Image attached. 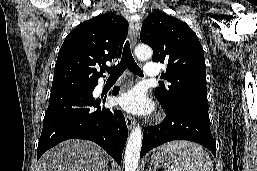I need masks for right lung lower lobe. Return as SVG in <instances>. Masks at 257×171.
<instances>
[{
  "label": "right lung lower lobe",
  "mask_w": 257,
  "mask_h": 171,
  "mask_svg": "<svg viewBox=\"0 0 257 171\" xmlns=\"http://www.w3.org/2000/svg\"><path fill=\"white\" fill-rule=\"evenodd\" d=\"M93 86L52 90L38 143L37 160L58 143L72 138L86 139L100 145L120 164L128 137L121 111L101 107L92 97ZM119 88H114L116 95Z\"/></svg>",
  "instance_id": "98d812e1"
}]
</instances>
